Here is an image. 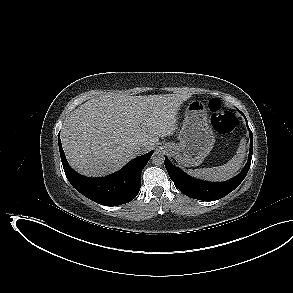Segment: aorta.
<instances>
[{"label": "aorta", "instance_id": "aorta-1", "mask_svg": "<svg viewBox=\"0 0 293 293\" xmlns=\"http://www.w3.org/2000/svg\"><path fill=\"white\" fill-rule=\"evenodd\" d=\"M151 161L153 164L155 165H161L164 162V155L162 152L160 151H156L153 153V155L151 156Z\"/></svg>", "mask_w": 293, "mask_h": 293}]
</instances>
